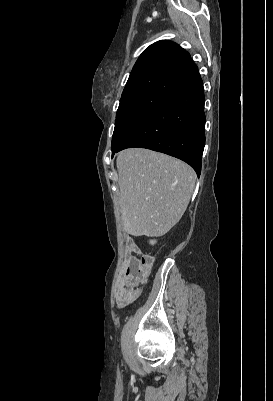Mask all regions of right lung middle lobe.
<instances>
[{
	"instance_id": "dd1d6c3e",
	"label": "right lung middle lobe",
	"mask_w": 273,
	"mask_h": 401,
	"mask_svg": "<svg viewBox=\"0 0 273 401\" xmlns=\"http://www.w3.org/2000/svg\"><path fill=\"white\" fill-rule=\"evenodd\" d=\"M166 97V95L157 93H140L121 98L112 137V152L125 142L140 123L147 118Z\"/></svg>"
}]
</instances>
